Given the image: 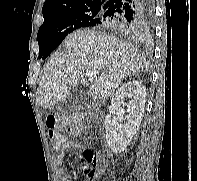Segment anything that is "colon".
Returning a JSON list of instances; mask_svg holds the SVG:
<instances>
[{
  "instance_id": "colon-1",
  "label": "colon",
  "mask_w": 197,
  "mask_h": 181,
  "mask_svg": "<svg viewBox=\"0 0 197 181\" xmlns=\"http://www.w3.org/2000/svg\"><path fill=\"white\" fill-rule=\"evenodd\" d=\"M61 128L67 129L73 135L79 134L84 129L82 118L77 114H53L47 118V136L55 149L60 148L63 142L57 131ZM81 158L85 163L83 180L94 181L96 168L104 166V157L91 150H84Z\"/></svg>"
}]
</instances>
